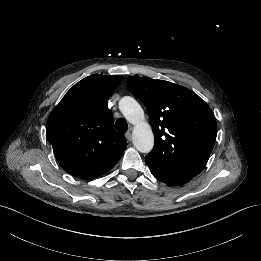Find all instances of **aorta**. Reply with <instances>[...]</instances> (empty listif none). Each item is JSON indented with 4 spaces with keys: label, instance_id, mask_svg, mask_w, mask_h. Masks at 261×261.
Here are the masks:
<instances>
[{
    "label": "aorta",
    "instance_id": "762f6f07",
    "mask_svg": "<svg viewBox=\"0 0 261 261\" xmlns=\"http://www.w3.org/2000/svg\"><path fill=\"white\" fill-rule=\"evenodd\" d=\"M119 108L126 120L134 125L133 145L139 152L149 153L154 146V135L149 123L145 121L140 104L134 98L125 96L120 100Z\"/></svg>",
    "mask_w": 261,
    "mask_h": 261
}]
</instances>
